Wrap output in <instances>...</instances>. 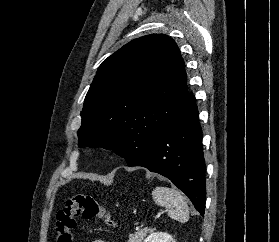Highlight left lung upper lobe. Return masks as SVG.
<instances>
[{
  "label": "left lung upper lobe",
  "mask_w": 279,
  "mask_h": 242,
  "mask_svg": "<svg viewBox=\"0 0 279 242\" xmlns=\"http://www.w3.org/2000/svg\"><path fill=\"white\" fill-rule=\"evenodd\" d=\"M185 63L164 34L134 39L98 68L85 97L79 145L112 149L132 161L189 97Z\"/></svg>",
  "instance_id": "left-lung-upper-lobe-1"
}]
</instances>
